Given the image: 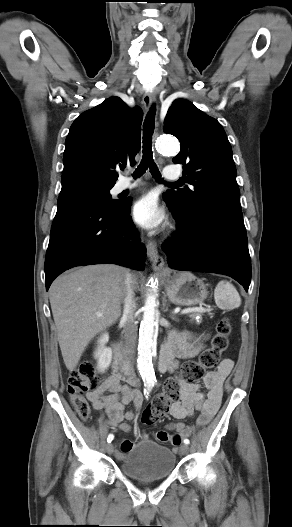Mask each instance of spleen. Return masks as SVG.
Here are the masks:
<instances>
[{
    "instance_id": "obj_1",
    "label": "spleen",
    "mask_w": 292,
    "mask_h": 527,
    "mask_svg": "<svg viewBox=\"0 0 292 527\" xmlns=\"http://www.w3.org/2000/svg\"><path fill=\"white\" fill-rule=\"evenodd\" d=\"M214 299L218 307L232 310L240 307L241 297L232 283L220 281L214 291Z\"/></svg>"
}]
</instances>
